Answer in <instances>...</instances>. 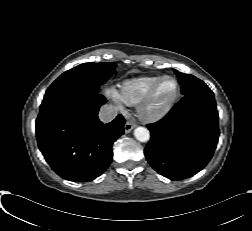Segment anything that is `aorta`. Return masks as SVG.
Returning <instances> with one entry per match:
<instances>
[{
    "instance_id": "aorta-1",
    "label": "aorta",
    "mask_w": 252,
    "mask_h": 231,
    "mask_svg": "<svg viewBox=\"0 0 252 231\" xmlns=\"http://www.w3.org/2000/svg\"><path fill=\"white\" fill-rule=\"evenodd\" d=\"M134 136L140 142H147L150 139V132L145 127H137L134 130Z\"/></svg>"
}]
</instances>
